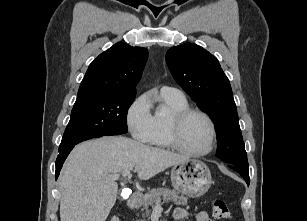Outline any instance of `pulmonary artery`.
Returning <instances> with one entry per match:
<instances>
[{"instance_id":"pulmonary-artery-1","label":"pulmonary artery","mask_w":307,"mask_h":221,"mask_svg":"<svg viewBox=\"0 0 307 221\" xmlns=\"http://www.w3.org/2000/svg\"><path fill=\"white\" fill-rule=\"evenodd\" d=\"M161 92L164 93H171V94H176V95H183L182 91L175 88V87H170V86H163L161 88Z\"/></svg>"}]
</instances>
